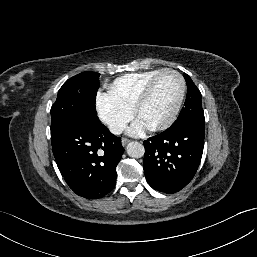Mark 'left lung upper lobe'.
Returning a JSON list of instances; mask_svg holds the SVG:
<instances>
[{
  "label": "left lung upper lobe",
  "instance_id": "left-lung-upper-lobe-1",
  "mask_svg": "<svg viewBox=\"0 0 257 257\" xmlns=\"http://www.w3.org/2000/svg\"><path fill=\"white\" fill-rule=\"evenodd\" d=\"M184 78L187 82V97L185 106L182 108L177 120L175 123H173V125H179L181 123L194 120L205 122L201 103V93L189 75L184 73Z\"/></svg>",
  "mask_w": 257,
  "mask_h": 257
}]
</instances>
